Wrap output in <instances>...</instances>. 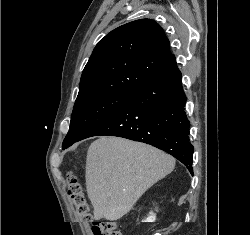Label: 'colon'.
<instances>
[{
	"label": "colon",
	"mask_w": 250,
	"mask_h": 235,
	"mask_svg": "<svg viewBox=\"0 0 250 235\" xmlns=\"http://www.w3.org/2000/svg\"><path fill=\"white\" fill-rule=\"evenodd\" d=\"M66 177L69 185L68 195L79 217L86 222L92 223L93 235H122L120 226L116 221L93 222L89 205L76 176L68 173Z\"/></svg>",
	"instance_id": "1"
}]
</instances>
